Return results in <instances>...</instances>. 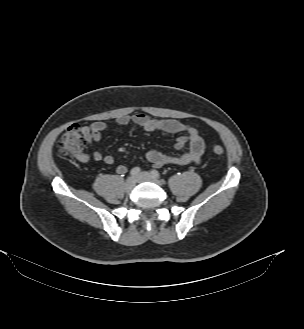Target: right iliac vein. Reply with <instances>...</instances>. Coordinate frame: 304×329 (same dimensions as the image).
Segmentation results:
<instances>
[{"mask_svg": "<svg viewBox=\"0 0 304 329\" xmlns=\"http://www.w3.org/2000/svg\"><path fill=\"white\" fill-rule=\"evenodd\" d=\"M136 182L137 180L135 177H129L125 182V189L131 191L135 187Z\"/></svg>", "mask_w": 304, "mask_h": 329, "instance_id": "63e3f726", "label": "right iliac vein"}]
</instances>
